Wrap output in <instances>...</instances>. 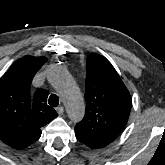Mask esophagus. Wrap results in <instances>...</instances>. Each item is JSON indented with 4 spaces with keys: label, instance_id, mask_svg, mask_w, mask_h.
Wrapping results in <instances>:
<instances>
[{
    "label": "esophagus",
    "instance_id": "esophagus-1",
    "mask_svg": "<svg viewBox=\"0 0 165 165\" xmlns=\"http://www.w3.org/2000/svg\"><path fill=\"white\" fill-rule=\"evenodd\" d=\"M56 110L59 115H62L64 113V108L62 106L56 108Z\"/></svg>",
    "mask_w": 165,
    "mask_h": 165
}]
</instances>
